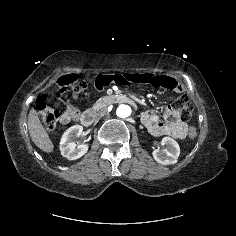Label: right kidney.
Returning <instances> with one entry per match:
<instances>
[{"mask_svg":"<svg viewBox=\"0 0 236 236\" xmlns=\"http://www.w3.org/2000/svg\"><path fill=\"white\" fill-rule=\"evenodd\" d=\"M83 132L81 125H74L67 129L62 135L60 141V151L62 156L68 160H76L82 157L88 151V144L77 145L75 138Z\"/></svg>","mask_w":236,"mask_h":236,"instance_id":"obj_1","label":"right kidney"}]
</instances>
